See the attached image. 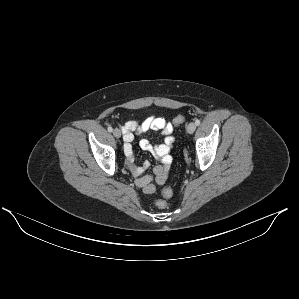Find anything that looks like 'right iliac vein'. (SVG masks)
<instances>
[{
	"mask_svg": "<svg viewBox=\"0 0 299 299\" xmlns=\"http://www.w3.org/2000/svg\"><path fill=\"white\" fill-rule=\"evenodd\" d=\"M113 135L116 137V138H120L121 137V131L118 129V128H115L113 130Z\"/></svg>",
	"mask_w": 299,
	"mask_h": 299,
	"instance_id": "1",
	"label": "right iliac vein"
}]
</instances>
